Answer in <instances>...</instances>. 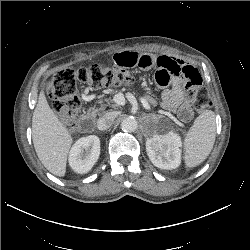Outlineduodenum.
I'll use <instances>...</instances> for the list:
<instances>
[{
    "label": "duodenum",
    "instance_id": "1",
    "mask_svg": "<svg viewBox=\"0 0 250 250\" xmlns=\"http://www.w3.org/2000/svg\"><path fill=\"white\" fill-rule=\"evenodd\" d=\"M94 120H95V112L89 110L86 114H84L82 118L81 121L82 129L86 132L90 131L93 127Z\"/></svg>",
    "mask_w": 250,
    "mask_h": 250
}]
</instances>
